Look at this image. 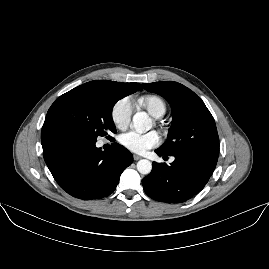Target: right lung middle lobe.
I'll return each instance as SVG.
<instances>
[{
    "mask_svg": "<svg viewBox=\"0 0 269 269\" xmlns=\"http://www.w3.org/2000/svg\"><path fill=\"white\" fill-rule=\"evenodd\" d=\"M121 98L123 97L79 86L56 99L48 110L45 121L69 125L81 137L96 141L98 136H105L107 132L116 133L111 113Z\"/></svg>",
    "mask_w": 269,
    "mask_h": 269,
    "instance_id": "right-lung-middle-lobe-1",
    "label": "right lung middle lobe"
}]
</instances>
